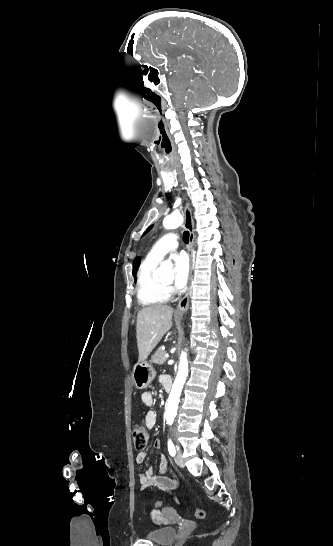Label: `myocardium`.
<instances>
[{
  "mask_svg": "<svg viewBox=\"0 0 333 546\" xmlns=\"http://www.w3.org/2000/svg\"><path fill=\"white\" fill-rule=\"evenodd\" d=\"M163 286H164V287H165L166 289H168V288H169V285H163Z\"/></svg>",
  "mask_w": 333,
  "mask_h": 546,
  "instance_id": "myocardium-1",
  "label": "myocardium"
}]
</instances>
